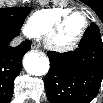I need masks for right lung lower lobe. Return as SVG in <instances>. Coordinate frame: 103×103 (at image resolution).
<instances>
[{
    "mask_svg": "<svg viewBox=\"0 0 103 103\" xmlns=\"http://www.w3.org/2000/svg\"><path fill=\"white\" fill-rule=\"evenodd\" d=\"M20 30L0 26V102L10 101L14 79L21 69L22 58L30 49L31 42L26 40L17 47L10 46L11 40Z\"/></svg>",
    "mask_w": 103,
    "mask_h": 103,
    "instance_id": "1",
    "label": "right lung lower lobe"
}]
</instances>
